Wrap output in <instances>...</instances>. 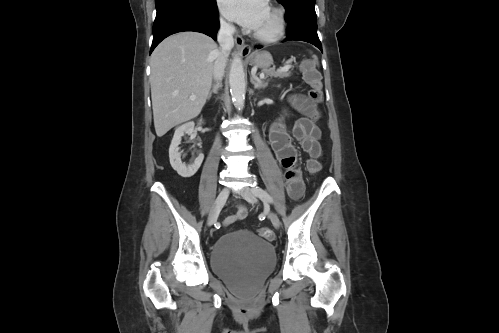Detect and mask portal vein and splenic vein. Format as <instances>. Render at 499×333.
<instances>
[{"label": "portal vein and splenic vein", "instance_id": "obj_1", "mask_svg": "<svg viewBox=\"0 0 499 333\" xmlns=\"http://www.w3.org/2000/svg\"><path fill=\"white\" fill-rule=\"evenodd\" d=\"M288 67H289V66H286V67H284V69H287ZM260 78H262V79L264 78V74H263V73L260 75ZM190 99H191V100H194V99H196V97H195L194 95H191V96H190Z\"/></svg>", "mask_w": 499, "mask_h": 333}]
</instances>
